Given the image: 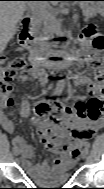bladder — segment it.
Returning a JSON list of instances; mask_svg holds the SVG:
<instances>
[{"label": "bladder", "mask_w": 104, "mask_h": 189, "mask_svg": "<svg viewBox=\"0 0 104 189\" xmlns=\"http://www.w3.org/2000/svg\"><path fill=\"white\" fill-rule=\"evenodd\" d=\"M29 178L41 185H60L65 184L70 179L69 167L50 166L43 174H28Z\"/></svg>", "instance_id": "1"}]
</instances>
